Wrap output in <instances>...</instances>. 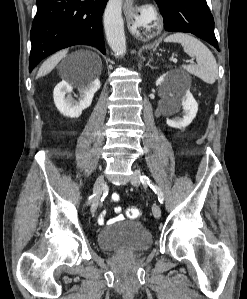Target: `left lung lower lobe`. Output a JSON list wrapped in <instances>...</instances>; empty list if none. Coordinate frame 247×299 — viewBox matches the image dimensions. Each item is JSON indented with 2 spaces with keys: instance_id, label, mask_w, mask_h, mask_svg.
<instances>
[{
  "instance_id": "left-lung-lower-lobe-1",
  "label": "left lung lower lobe",
  "mask_w": 247,
  "mask_h": 299,
  "mask_svg": "<svg viewBox=\"0 0 247 299\" xmlns=\"http://www.w3.org/2000/svg\"><path fill=\"white\" fill-rule=\"evenodd\" d=\"M167 31L189 32L204 39L218 51L214 19L206 0H156Z\"/></svg>"
}]
</instances>
